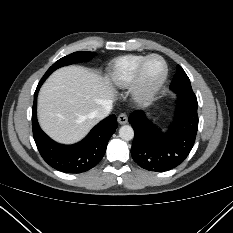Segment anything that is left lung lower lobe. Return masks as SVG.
I'll return each mask as SVG.
<instances>
[{"label": "left lung lower lobe", "instance_id": "1", "mask_svg": "<svg viewBox=\"0 0 233 233\" xmlns=\"http://www.w3.org/2000/svg\"><path fill=\"white\" fill-rule=\"evenodd\" d=\"M177 111L171 127L161 132L136 110L129 116L135 136L131 155L150 171H166L181 164L190 153L198 130L197 98L194 93H177Z\"/></svg>", "mask_w": 233, "mask_h": 233}]
</instances>
